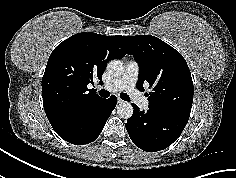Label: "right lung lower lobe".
<instances>
[{
  "label": "right lung lower lobe",
  "instance_id": "1",
  "mask_svg": "<svg viewBox=\"0 0 236 178\" xmlns=\"http://www.w3.org/2000/svg\"><path fill=\"white\" fill-rule=\"evenodd\" d=\"M116 104L117 99L114 96L109 99H102L82 116L69 120L53 129L62 139L69 143L75 145L91 143L102 132Z\"/></svg>",
  "mask_w": 236,
  "mask_h": 178
}]
</instances>
